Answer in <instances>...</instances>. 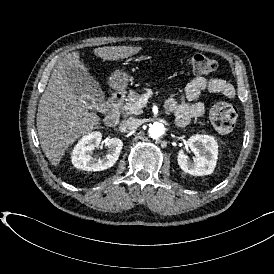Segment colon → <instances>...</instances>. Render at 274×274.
<instances>
[{"label": "colon", "mask_w": 274, "mask_h": 274, "mask_svg": "<svg viewBox=\"0 0 274 274\" xmlns=\"http://www.w3.org/2000/svg\"><path fill=\"white\" fill-rule=\"evenodd\" d=\"M188 65L197 74H212L217 69L216 61L205 54L195 53L188 57ZM210 122L212 126L221 133L233 130L237 121L236 107L227 101L217 102L210 111Z\"/></svg>", "instance_id": "colon-1"}]
</instances>
